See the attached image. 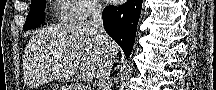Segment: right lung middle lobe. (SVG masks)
I'll return each instance as SVG.
<instances>
[{"label": "right lung middle lobe", "mask_w": 216, "mask_h": 90, "mask_svg": "<svg viewBox=\"0 0 216 90\" xmlns=\"http://www.w3.org/2000/svg\"><path fill=\"white\" fill-rule=\"evenodd\" d=\"M45 6L46 0H32L30 12L27 16L23 30L34 29L44 22L45 14L43 10Z\"/></svg>", "instance_id": "dd1d6c3e"}]
</instances>
